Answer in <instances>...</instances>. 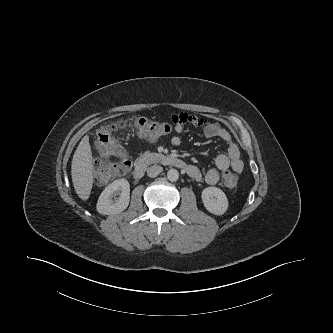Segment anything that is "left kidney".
Returning a JSON list of instances; mask_svg holds the SVG:
<instances>
[{
  "instance_id": "5707ae66",
  "label": "left kidney",
  "mask_w": 333,
  "mask_h": 333,
  "mask_svg": "<svg viewBox=\"0 0 333 333\" xmlns=\"http://www.w3.org/2000/svg\"><path fill=\"white\" fill-rule=\"evenodd\" d=\"M201 198L205 208L212 214L222 215L228 209V199L225 193L217 187L203 189Z\"/></svg>"
}]
</instances>
